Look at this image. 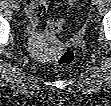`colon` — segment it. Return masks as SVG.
<instances>
[{
	"label": "colon",
	"mask_w": 111,
	"mask_h": 106,
	"mask_svg": "<svg viewBox=\"0 0 111 106\" xmlns=\"http://www.w3.org/2000/svg\"><path fill=\"white\" fill-rule=\"evenodd\" d=\"M68 4H69L68 11H70L74 3L73 1H69ZM66 22H67L66 18L50 19L46 25L47 33L49 34L58 33L66 25ZM74 62H75V54L71 50L62 51L57 59V64L62 67H70L74 64Z\"/></svg>",
	"instance_id": "colon-1"
}]
</instances>
